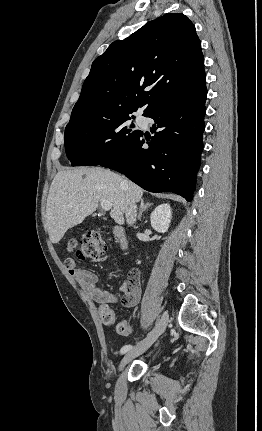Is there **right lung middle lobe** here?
<instances>
[{"label":"right lung middle lobe","instance_id":"dd1d6c3e","mask_svg":"<svg viewBox=\"0 0 262 431\" xmlns=\"http://www.w3.org/2000/svg\"><path fill=\"white\" fill-rule=\"evenodd\" d=\"M130 119L126 115L66 126L65 150L71 165H99L115 157L140 133L127 124Z\"/></svg>","mask_w":262,"mask_h":431}]
</instances>
